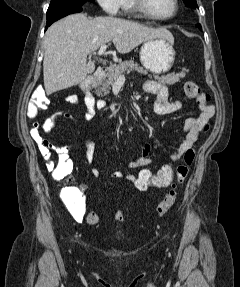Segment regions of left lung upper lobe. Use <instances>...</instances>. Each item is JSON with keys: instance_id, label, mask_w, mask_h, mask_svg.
Returning a JSON list of instances; mask_svg holds the SVG:
<instances>
[{"instance_id": "obj_1", "label": "left lung upper lobe", "mask_w": 240, "mask_h": 287, "mask_svg": "<svg viewBox=\"0 0 240 287\" xmlns=\"http://www.w3.org/2000/svg\"><path fill=\"white\" fill-rule=\"evenodd\" d=\"M186 6L191 7V8H196L197 7V2L196 0H183Z\"/></svg>"}]
</instances>
